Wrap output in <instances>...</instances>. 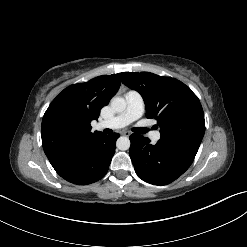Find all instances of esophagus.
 <instances>
[{"mask_svg": "<svg viewBox=\"0 0 247 247\" xmlns=\"http://www.w3.org/2000/svg\"><path fill=\"white\" fill-rule=\"evenodd\" d=\"M121 134L123 136H127V137H129L131 135V133L129 131H122Z\"/></svg>", "mask_w": 247, "mask_h": 247, "instance_id": "obj_1", "label": "esophagus"}]
</instances>
